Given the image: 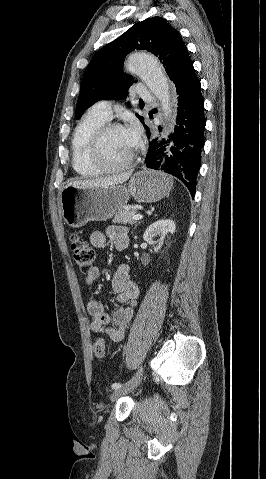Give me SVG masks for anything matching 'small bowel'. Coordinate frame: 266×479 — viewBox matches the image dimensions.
<instances>
[{
    "mask_svg": "<svg viewBox=\"0 0 266 479\" xmlns=\"http://www.w3.org/2000/svg\"><path fill=\"white\" fill-rule=\"evenodd\" d=\"M109 240L116 250L125 249L129 244L128 229L125 226H110L105 231H95L90 236L91 244L97 248L104 247ZM98 276L99 270L92 269L85 278L86 285L91 286ZM112 289L119 307L108 313L103 302L91 300L88 303L90 330L97 335H107L113 342H120L133 321L139 296V287L130 278L129 265L121 264L117 268L112 278Z\"/></svg>",
    "mask_w": 266,
    "mask_h": 479,
    "instance_id": "small-bowel-1",
    "label": "small bowel"
}]
</instances>
